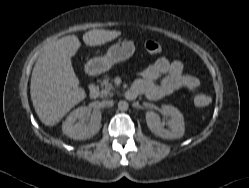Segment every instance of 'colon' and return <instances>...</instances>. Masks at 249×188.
Returning a JSON list of instances; mask_svg holds the SVG:
<instances>
[{
	"instance_id": "colon-1",
	"label": "colon",
	"mask_w": 249,
	"mask_h": 188,
	"mask_svg": "<svg viewBox=\"0 0 249 188\" xmlns=\"http://www.w3.org/2000/svg\"><path fill=\"white\" fill-rule=\"evenodd\" d=\"M145 48L146 50L151 53V54H157L160 53L163 49L162 45L154 40H148L145 43ZM211 99L208 95L205 94H200L198 96L195 97L194 99V103L197 107H206L210 104Z\"/></svg>"
}]
</instances>
